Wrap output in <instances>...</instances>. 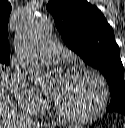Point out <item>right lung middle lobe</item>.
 I'll return each instance as SVG.
<instances>
[{"mask_svg": "<svg viewBox=\"0 0 125 128\" xmlns=\"http://www.w3.org/2000/svg\"><path fill=\"white\" fill-rule=\"evenodd\" d=\"M10 58H0V65H9Z\"/></svg>", "mask_w": 125, "mask_h": 128, "instance_id": "1", "label": "right lung middle lobe"}]
</instances>
